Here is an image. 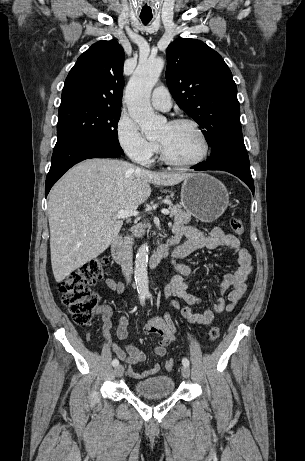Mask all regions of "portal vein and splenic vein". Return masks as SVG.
<instances>
[{"mask_svg": "<svg viewBox=\"0 0 305 461\" xmlns=\"http://www.w3.org/2000/svg\"><path fill=\"white\" fill-rule=\"evenodd\" d=\"M161 212H162V214H164V215H169V214H170L169 210H167V209H163ZM138 214H139V212L136 211V210H119V211L113 216V218H119V219H121V218H128V217H131V216H136V215H138Z\"/></svg>", "mask_w": 305, "mask_h": 461, "instance_id": "obj_1", "label": "portal vein and splenic vein"}]
</instances>
